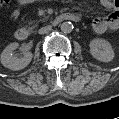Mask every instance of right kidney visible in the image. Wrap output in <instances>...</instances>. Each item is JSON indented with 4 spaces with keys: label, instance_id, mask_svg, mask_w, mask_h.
<instances>
[{
    "label": "right kidney",
    "instance_id": "ca27d5eb",
    "mask_svg": "<svg viewBox=\"0 0 119 119\" xmlns=\"http://www.w3.org/2000/svg\"><path fill=\"white\" fill-rule=\"evenodd\" d=\"M19 44L17 42L9 44L1 54V63L6 68L11 70H21L25 68L32 60V53L27 50L24 46L23 56L20 55H13V51L17 49Z\"/></svg>",
    "mask_w": 119,
    "mask_h": 119
}]
</instances>
